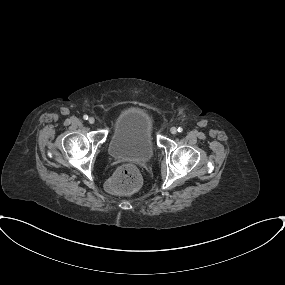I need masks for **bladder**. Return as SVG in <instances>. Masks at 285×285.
<instances>
[{"instance_id":"obj_1","label":"bladder","mask_w":285,"mask_h":285,"mask_svg":"<svg viewBox=\"0 0 285 285\" xmlns=\"http://www.w3.org/2000/svg\"><path fill=\"white\" fill-rule=\"evenodd\" d=\"M109 154L116 159L148 161L155 151L153 125L144 107L128 110L113 126Z\"/></svg>"}]
</instances>
